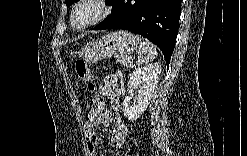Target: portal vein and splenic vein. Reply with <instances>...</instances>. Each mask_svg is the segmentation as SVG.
<instances>
[{
	"label": "portal vein and splenic vein",
	"instance_id": "portal-vein-and-splenic-vein-1",
	"mask_svg": "<svg viewBox=\"0 0 247 156\" xmlns=\"http://www.w3.org/2000/svg\"><path fill=\"white\" fill-rule=\"evenodd\" d=\"M128 63L131 65V63H132V60L130 59L129 61H128Z\"/></svg>",
	"mask_w": 247,
	"mask_h": 156
}]
</instances>
